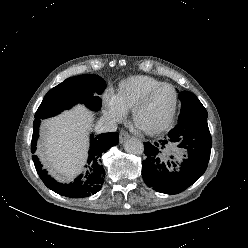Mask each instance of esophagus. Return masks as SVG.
<instances>
[{
	"mask_svg": "<svg viewBox=\"0 0 248 248\" xmlns=\"http://www.w3.org/2000/svg\"><path fill=\"white\" fill-rule=\"evenodd\" d=\"M130 137V135L128 134V132L127 131H125V130H121L120 131V134H119V139H120V142L122 143V142H124L127 138H129Z\"/></svg>",
	"mask_w": 248,
	"mask_h": 248,
	"instance_id": "obj_1",
	"label": "esophagus"
}]
</instances>
